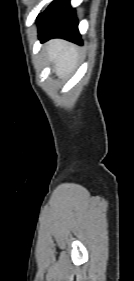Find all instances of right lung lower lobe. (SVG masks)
Returning a JSON list of instances; mask_svg holds the SVG:
<instances>
[{
    "mask_svg": "<svg viewBox=\"0 0 134 281\" xmlns=\"http://www.w3.org/2000/svg\"><path fill=\"white\" fill-rule=\"evenodd\" d=\"M39 39L63 38L82 44L75 10L66 0H55L38 16Z\"/></svg>",
    "mask_w": 134,
    "mask_h": 281,
    "instance_id": "right-lung-lower-lobe-1",
    "label": "right lung lower lobe"
}]
</instances>
